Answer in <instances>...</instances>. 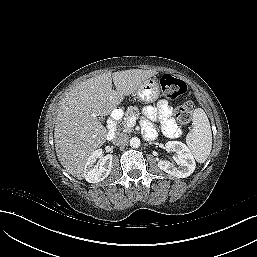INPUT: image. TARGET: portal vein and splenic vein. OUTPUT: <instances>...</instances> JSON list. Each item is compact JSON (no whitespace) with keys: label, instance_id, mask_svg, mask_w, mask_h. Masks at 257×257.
<instances>
[{"label":"portal vein and splenic vein","instance_id":"1","mask_svg":"<svg viewBox=\"0 0 257 257\" xmlns=\"http://www.w3.org/2000/svg\"><path fill=\"white\" fill-rule=\"evenodd\" d=\"M136 119L137 118L135 116H132L131 118H129V120H128L129 125H134L136 122Z\"/></svg>","mask_w":257,"mask_h":257}]
</instances>
